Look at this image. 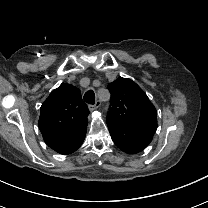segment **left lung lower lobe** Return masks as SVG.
<instances>
[{
    "label": "left lung lower lobe",
    "instance_id": "0a47b994",
    "mask_svg": "<svg viewBox=\"0 0 208 208\" xmlns=\"http://www.w3.org/2000/svg\"><path fill=\"white\" fill-rule=\"evenodd\" d=\"M107 126L113 142L128 154L141 152L150 143L137 129H131L109 121H107Z\"/></svg>",
    "mask_w": 208,
    "mask_h": 208
}]
</instances>
